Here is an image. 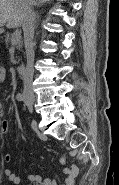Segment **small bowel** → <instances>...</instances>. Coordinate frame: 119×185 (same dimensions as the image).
Masks as SVG:
<instances>
[{"mask_svg": "<svg viewBox=\"0 0 119 185\" xmlns=\"http://www.w3.org/2000/svg\"><path fill=\"white\" fill-rule=\"evenodd\" d=\"M7 77V72L5 68H0V81L4 82ZM0 112H3L2 106L0 107ZM9 121L3 120L1 123V133L3 135L7 134L9 132ZM4 162L10 163L12 161L11 154H5L4 156ZM61 163L64 164V160L61 159ZM62 173L64 175V183L62 185H74L75 179L78 175V168L77 166H73L71 168L64 167L62 169ZM4 174L6 177L13 183H20L21 177L14 173L11 169L7 168L4 170ZM28 181L41 183L42 185H58L55 180H52L50 178H42L41 175L38 174H31L26 177Z\"/></svg>", "mask_w": 119, "mask_h": 185, "instance_id": "small-bowel-1", "label": "small bowel"}]
</instances>
